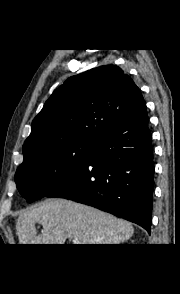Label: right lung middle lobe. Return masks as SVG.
I'll return each mask as SVG.
<instances>
[{
  "label": "right lung middle lobe",
  "mask_w": 180,
  "mask_h": 294,
  "mask_svg": "<svg viewBox=\"0 0 180 294\" xmlns=\"http://www.w3.org/2000/svg\"><path fill=\"white\" fill-rule=\"evenodd\" d=\"M95 142L71 141L45 147L18 167L15 182L28 202L47 196L69 179L89 156Z\"/></svg>",
  "instance_id": "obj_1"
}]
</instances>
